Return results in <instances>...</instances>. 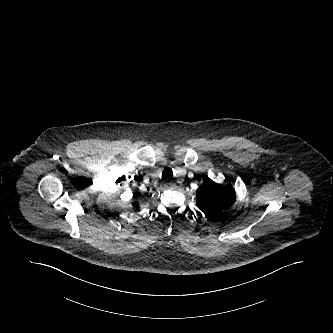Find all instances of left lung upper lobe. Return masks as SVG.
Segmentation results:
<instances>
[{"label":"left lung upper lobe","mask_w":333,"mask_h":333,"mask_svg":"<svg viewBox=\"0 0 333 333\" xmlns=\"http://www.w3.org/2000/svg\"><path fill=\"white\" fill-rule=\"evenodd\" d=\"M235 198V190L231 185L217 184L206 177L197 190L196 202L205 217L215 218L221 211L229 208Z\"/></svg>","instance_id":"5c2ea615"}]
</instances>
